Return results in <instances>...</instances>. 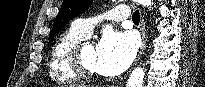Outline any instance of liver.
<instances>
[{"label": "liver", "mask_w": 205, "mask_h": 87, "mask_svg": "<svg viewBox=\"0 0 205 87\" xmlns=\"http://www.w3.org/2000/svg\"><path fill=\"white\" fill-rule=\"evenodd\" d=\"M65 87H84V86H81V85H68V86H65Z\"/></svg>", "instance_id": "liver-1"}]
</instances>
